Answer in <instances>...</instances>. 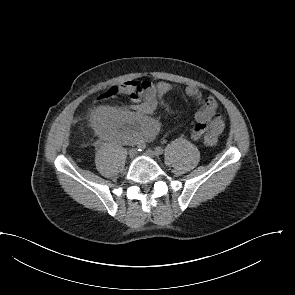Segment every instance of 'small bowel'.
<instances>
[{"label": "small bowel", "mask_w": 295, "mask_h": 295, "mask_svg": "<svg viewBox=\"0 0 295 295\" xmlns=\"http://www.w3.org/2000/svg\"><path fill=\"white\" fill-rule=\"evenodd\" d=\"M134 101L133 110H119L109 106L96 108L91 115L94 128L104 138L117 142L135 143L151 140L158 132V123L151 117L157 108H170L163 101L165 94L176 89L167 81H128L118 87ZM185 93L199 104L192 138L200 139L207 133L220 135L224 120L217 112L218 103L212 95H204L197 87L187 86Z\"/></svg>", "instance_id": "obj_1"}]
</instances>
